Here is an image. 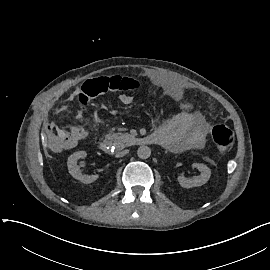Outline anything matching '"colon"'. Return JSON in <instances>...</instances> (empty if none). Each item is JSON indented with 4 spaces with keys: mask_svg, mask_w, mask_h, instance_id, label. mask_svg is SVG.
<instances>
[{
    "mask_svg": "<svg viewBox=\"0 0 270 270\" xmlns=\"http://www.w3.org/2000/svg\"><path fill=\"white\" fill-rule=\"evenodd\" d=\"M140 88L141 83L134 78L111 75L99 78L96 81L86 82L78 93L77 102L80 106L87 107L92 99L109 90L126 92L136 91ZM74 127L77 132L84 133L86 131L84 125L76 124ZM211 136L217 151L221 154H225L234 141L233 131L224 124L213 126Z\"/></svg>",
    "mask_w": 270,
    "mask_h": 270,
    "instance_id": "5ec220e1",
    "label": "colon"
}]
</instances>
